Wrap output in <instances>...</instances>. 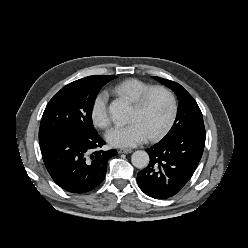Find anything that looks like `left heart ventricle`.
<instances>
[{"instance_id": "1", "label": "left heart ventricle", "mask_w": 248, "mask_h": 248, "mask_svg": "<svg viewBox=\"0 0 248 248\" xmlns=\"http://www.w3.org/2000/svg\"><path fill=\"white\" fill-rule=\"evenodd\" d=\"M169 111L168 97L162 92H155L142 109L132 107L129 122H138L150 136L164 122Z\"/></svg>"}]
</instances>
